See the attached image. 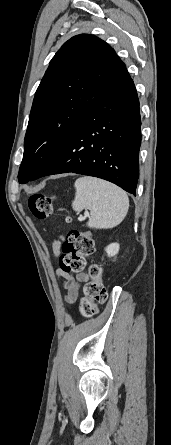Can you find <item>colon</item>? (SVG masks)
I'll use <instances>...</instances> for the list:
<instances>
[{
	"instance_id": "5ec220e1",
	"label": "colon",
	"mask_w": 171,
	"mask_h": 445,
	"mask_svg": "<svg viewBox=\"0 0 171 445\" xmlns=\"http://www.w3.org/2000/svg\"><path fill=\"white\" fill-rule=\"evenodd\" d=\"M28 207L38 219H46L53 213V198L41 193L28 198ZM95 243L87 231H70L62 245V254L59 264L63 271L79 272L85 267V258L94 254ZM107 292L103 285L102 267L92 264L89 268V279L83 285V296L80 301V310L85 315L96 312L95 303L107 300Z\"/></svg>"
}]
</instances>
